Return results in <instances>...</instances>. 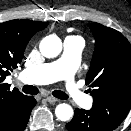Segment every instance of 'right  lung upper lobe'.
<instances>
[{
  "label": "right lung upper lobe",
  "mask_w": 131,
  "mask_h": 131,
  "mask_svg": "<svg viewBox=\"0 0 131 131\" xmlns=\"http://www.w3.org/2000/svg\"><path fill=\"white\" fill-rule=\"evenodd\" d=\"M48 23L31 20H11L0 23V131L10 128L20 106L28 96L18 89L10 90L4 80L23 58L30 38Z\"/></svg>",
  "instance_id": "obj_1"
}]
</instances>
